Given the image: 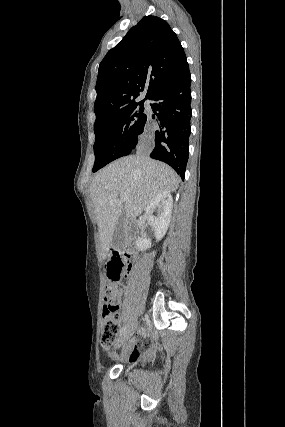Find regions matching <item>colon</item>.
Segmentation results:
<instances>
[{
    "label": "colon",
    "instance_id": "colon-1",
    "mask_svg": "<svg viewBox=\"0 0 285 427\" xmlns=\"http://www.w3.org/2000/svg\"><path fill=\"white\" fill-rule=\"evenodd\" d=\"M108 286L104 293L102 345L109 348L120 334V321L117 310L122 300L121 277L125 270V260L113 253L106 265Z\"/></svg>",
    "mask_w": 285,
    "mask_h": 427
}]
</instances>
